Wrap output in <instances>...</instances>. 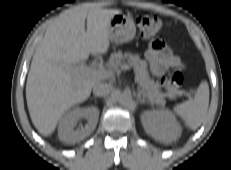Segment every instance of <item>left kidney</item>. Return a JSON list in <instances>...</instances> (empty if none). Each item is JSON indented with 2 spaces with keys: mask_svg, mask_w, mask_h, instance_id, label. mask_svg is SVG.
Here are the masks:
<instances>
[{
  "mask_svg": "<svg viewBox=\"0 0 231 170\" xmlns=\"http://www.w3.org/2000/svg\"><path fill=\"white\" fill-rule=\"evenodd\" d=\"M141 122L146 133L164 143L175 141L182 132L175 116L166 109L145 111L141 116Z\"/></svg>",
  "mask_w": 231,
  "mask_h": 170,
  "instance_id": "5707ae66",
  "label": "left kidney"
}]
</instances>
